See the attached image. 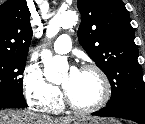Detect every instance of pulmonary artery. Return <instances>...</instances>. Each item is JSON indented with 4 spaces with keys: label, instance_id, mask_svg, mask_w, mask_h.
I'll list each match as a JSON object with an SVG mask.
<instances>
[{
    "label": "pulmonary artery",
    "instance_id": "e3ab8cb5",
    "mask_svg": "<svg viewBox=\"0 0 145 124\" xmlns=\"http://www.w3.org/2000/svg\"><path fill=\"white\" fill-rule=\"evenodd\" d=\"M72 41L68 35H61L53 44V50L57 54H66L71 50Z\"/></svg>",
    "mask_w": 145,
    "mask_h": 124
}]
</instances>
